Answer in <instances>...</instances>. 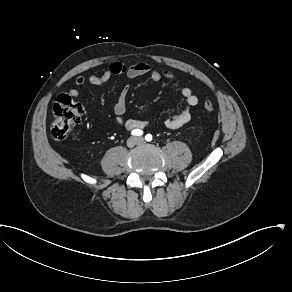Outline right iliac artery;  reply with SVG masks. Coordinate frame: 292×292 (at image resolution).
I'll return each mask as SVG.
<instances>
[{
  "label": "right iliac artery",
  "mask_w": 292,
  "mask_h": 292,
  "mask_svg": "<svg viewBox=\"0 0 292 292\" xmlns=\"http://www.w3.org/2000/svg\"><path fill=\"white\" fill-rule=\"evenodd\" d=\"M131 134L134 136H141L143 134V131L140 129H134L132 130Z\"/></svg>",
  "instance_id": "82829eb1"
}]
</instances>
